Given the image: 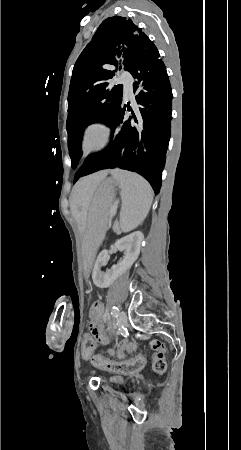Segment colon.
<instances>
[{"label": "colon", "mask_w": 241, "mask_h": 450, "mask_svg": "<svg viewBox=\"0 0 241 450\" xmlns=\"http://www.w3.org/2000/svg\"><path fill=\"white\" fill-rule=\"evenodd\" d=\"M82 352L84 357H88L89 362H98V367H111L112 370L121 372L127 375H132L138 371H140L145 364V361L141 357H135L131 360L127 361L123 364H117V362H106V357H102L101 354L95 353L94 355H88L87 353L94 348V338L93 336H83L82 338ZM150 348L154 353H157V350H160V353H157L153 363V371L156 375L162 374L166 369L165 359L167 357V347L162 344V342L158 339H153L150 342Z\"/></svg>", "instance_id": "5ec220e1"}]
</instances>
